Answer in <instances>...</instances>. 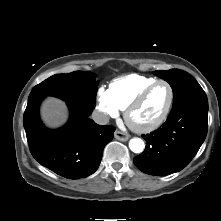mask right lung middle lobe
Masks as SVG:
<instances>
[{"label": "right lung middle lobe", "mask_w": 221, "mask_h": 221, "mask_svg": "<svg viewBox=\"0 0 221 221\" xmlns=\"http://www.w3.org/2000/svg\"><path fill=\"white\" fill-rule=\"evenodd\" d=\"M95 77L96 74L88 71L53 75L32 89L28 102L56 96L67 103L94 109L98 86Z\"/></svg>", "instance_id": "right-lung-middle-lobe-1"}]
</instances>
